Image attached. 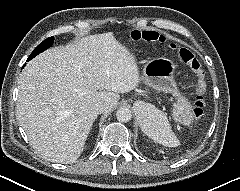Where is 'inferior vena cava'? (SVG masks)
Here are the masks:
<instances>
[{
	"instance_id": "obj_1",
	"label": "inferior vena cava",
	"mask_w": 240,
	"mask_h": 191,
	"mask_svg": "<svg viewBox=\"0 0 240 191\" xmlns=\"http://www.w3.org/2000/svg\"><path fill=\"white\" fill-rule=\"evenodd\" d=\"M108 109L107 105L104 104V103H98L94 106V110L97 112V113H103V112H106Z\"/></svg>"
}]
</instances>
